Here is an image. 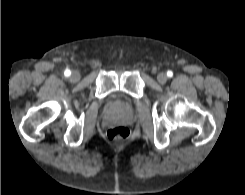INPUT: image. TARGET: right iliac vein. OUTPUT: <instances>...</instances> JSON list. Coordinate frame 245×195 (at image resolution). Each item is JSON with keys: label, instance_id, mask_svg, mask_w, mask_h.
<instances>
[{"label": "right iliac vein", "instance_id": "63e3f726", "mask_svg": "<svg viewBox=\"0 0 245 195\" xmlns=\"http://www.w3.org/2000/svg\"><path fill=\"white\" fill-rule=\"evenodd\" d=\"M80 73L78 71H73L71 76H70V80L72 82H77L80 79Z\"/></svg>", "mask_w": 245, "mask_h": 195}]
</instances>
